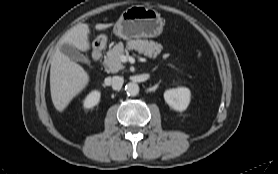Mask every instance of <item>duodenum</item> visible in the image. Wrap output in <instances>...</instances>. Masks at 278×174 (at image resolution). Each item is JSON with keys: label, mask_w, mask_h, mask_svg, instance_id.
I'll list each match as a JSON object with an SVG mask.
<instances>
[{"label": "duodenum", "mask_w": 278, "mask_h": 174, "mask_svg": "<svg viewBox=\"0 0 278 174\" xmlns=\"http://www.w3.org/2000/svg\"><path fill=\"white\" fill-rule=\"evenodd\" d=\"M105 43L102 39L98 38L94 42L92 58L95 61H98L102 56V51L104 49Z\"/></svg>", "instance_id": "obj_1"}]
</instances>
